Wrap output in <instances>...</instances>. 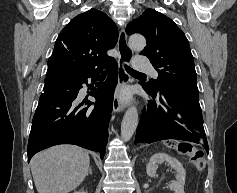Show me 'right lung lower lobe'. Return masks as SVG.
Instances as JSON below:
<instances>
[{
	"instance_id": "right-lung-lower-lobe-1",
	"label": "right lung lower lobe",
	"mask_w": 237,
	"mask_h": 193,
	"mask_svg": "<svg viewBox=\"0 0 237 193\" xmlns=\"http://www.w3.org/2000/svg\"><path fill=\"white\" fill-rule=\"evenodd\" d=\"M107 80L91 95L96 99L79 103L78 93L87 79H98L102 69L73 74L49 67L43 93L32 120L28 141V162L32 156L58 144H74L105 155L108 123L112 112L113 92L117 84L118 67L115 61L106 66ZM88 85V84H87ZM88 107H81L83 104Z\"/></svg>"
}]
</instances>
